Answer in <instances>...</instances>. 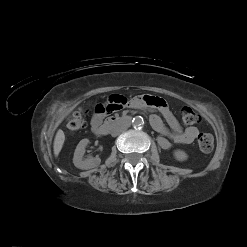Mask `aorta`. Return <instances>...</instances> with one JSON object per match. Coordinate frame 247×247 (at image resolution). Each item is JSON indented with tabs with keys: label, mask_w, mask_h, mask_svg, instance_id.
Listing matches in <instances>:
<instances>
[{
	"label": "aorta",
	"mask_w": 247,
	"mask_h": 247,
	"mask_svg": "<svg viewBox=\"0 0 247 247\" xmlns=\"http://www.w3.org/2000/svg\"><path fill=\"white\" fill-rule=\"evenodd\" d=\"M132 124L135 128H141L144 125V120L141 116H136L133 118Z\"/></svg>",
	"instance_id": "obj_1"
}]
</instances>
